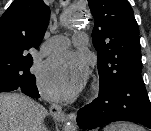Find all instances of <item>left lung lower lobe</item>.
<instances>
[{
	"label": "left lung lower lobe",
	"mask_w": 151,
	"mask_h": 131,
	"mask_svg": "<svg viewBox=\"0 0 151 131\" xmlns=\"http://www.w3.org/2000/svg\"><path fill=\"white\" fill-rule=\"evenodd\" d=\"M81 129H94L114 121H131L151 129V103L141 72H133L108 89L77 113Z\"/></svg>",
	"instance_id": "1"
}]
</instances>
